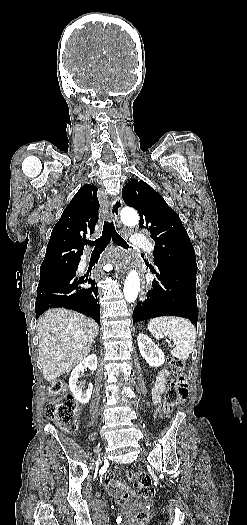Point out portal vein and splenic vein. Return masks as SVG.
<instances>
[{
	"label": "portal vein and splenic vein",
	"mask_w": 247,
	"mask_h": 525,
	"mask_svg": "<svg viewBox=\"0 0 247 525\" xmlns=\"http://www.w3.org/2000/svg\"><path fill=\"white\" fill-rule=\"evenodd\" d=\"M164 338H165L166 343H169V346H172L171 340L167 338V335H164ZM79 348H82V345H79Z\"/></svg>",
	"instance_id": "1"
}]
</instances>
